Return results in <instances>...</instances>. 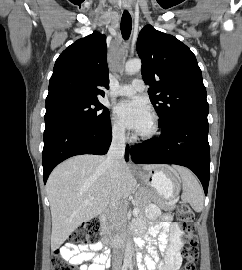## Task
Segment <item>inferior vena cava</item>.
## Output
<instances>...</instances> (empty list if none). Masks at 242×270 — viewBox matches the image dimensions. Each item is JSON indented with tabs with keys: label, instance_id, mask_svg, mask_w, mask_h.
Segmentation results:
<instances>
[{
	"label": "inferior vena cava",
	"instance_id": "obj_1",
	"mask_svg": "<svg viewBox=\"0 0 242 270\" xmlns=\"http://www.w3.org/2000/svg\"><path fill=\"white\" fill-rule=\"evenodd\" d=\"M125 130L119 129L113 133L112 142L104 161V164L109 170L111 180L114 184H117L121 176V167L124 163L125 153ZM120 216L119 197L115 195L109 204V220L111 223L118 221ZM115 254V266L120 268L121 257L119 251H114Z\"/></svg>",
	"mask_w": 242,
	"mask_h": 270
}]
</instances>
